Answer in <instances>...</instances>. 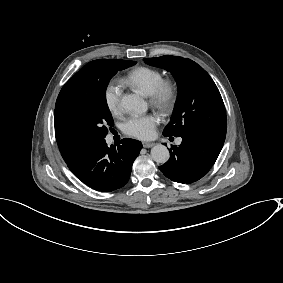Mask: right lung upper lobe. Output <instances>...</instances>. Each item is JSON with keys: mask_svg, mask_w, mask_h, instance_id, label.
I'll return each instance as SVG.
<instances>
[{"mask_svg": "<svg viewBox=\"0 0 283 283\" xmlns=\"http://www.w3.org/2000/svg\"><path fill=\"white\" fill-rule=\"evenodd\" d=\"M108 59L94 60L86 64L79 70L62 88L61 93L71 90L75 87L83 85L91 77L93 71L98 65L107 61ZM55 135L59 150L66 163H69L80 156L89 146L91 141L82 139L69 131H67L58 120L57 112L54 115Z\"/></svg>", "mask_w": 283, "mask_h": 283, "instance_id": "1", "label": "right lung upper lobe"}]
</instances>
